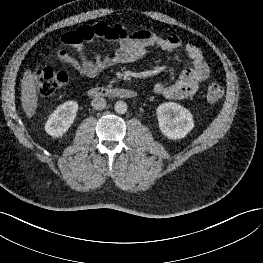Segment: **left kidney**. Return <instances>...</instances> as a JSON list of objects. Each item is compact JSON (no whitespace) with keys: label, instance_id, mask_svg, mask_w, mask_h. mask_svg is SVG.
<instances>
[{"label":"left kidney","instance_id":"left-kidney-1","mask_svg":"<svg viewBox=\"0 0 263 263\" xmlns=\"http://www.w3.org/2000/svg\"><path fill=\"white\" fill-rule=\"evenodd\" d=\"M156 114L162 134L169 139H182L194 128L191 112L177 103L166 102L159 105Z\"/></svg>","mask_w":263,"mask_h":263}]
</instances>
